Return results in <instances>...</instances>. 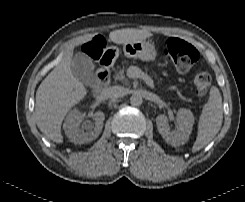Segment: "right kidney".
<instances>
[{
  "label": "right kidney",
  "mask_w": 245,
  "mask_h": 202,
  "mask_svg": "<svg viewBox=\"0 0 245 202\" xmlns=\"http://www.w3.org/2000/svg\"><path fill=\"white\" fill-rule=\"evenodd\" d=\"M85 114L77 109L70 111L63 125L65 134L69 140L75 144H85L95 140L102 131L105 115L98 111L92 115L94 123L91 121L83 122ZM83 124L81 125V123Z\"/></svg>",
  "instance_id": "ca27d5eb"
}]
</instances>
